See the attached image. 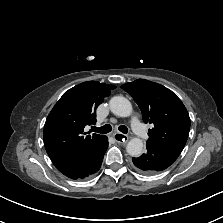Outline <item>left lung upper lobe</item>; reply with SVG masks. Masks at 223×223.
Masks as SVG:
<instances>
[{"label": "left lung upper lobe", "instance_id": "obj_1", "mask_svg": "<svg viewBox=\"0 0 223 223\" xmlns=\"http://www.w3.org/2000/svg\"><path fill=\"white\" fill-rule=\"evenodd\" d=\"M139 105L143 121L153 124L147 143L182 152L190 130V118L181 100L168 88L145 79L121 86Z\"/></svg>", "mask_w": 223, "mask_h": 223}]
</instances>
